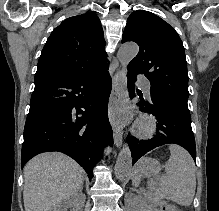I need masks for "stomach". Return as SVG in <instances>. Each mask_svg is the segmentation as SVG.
Here are the masks:
<instances>
[{
  "mask_svg": "<svg viewBox=\"0 0 219 211\" xmlns=\"http://www.w3.org/2000/svg\"><path fill=\"white\" fill-rule=\"evenodd\" d=\"M160 170V163L157 160L148 157L141 158L135 166V171L137 173L149 177L156 176Z\"/></svg>",
  "mask_w": 219,
  "mask_h": 211,
  "instance_id": "stomach-1",
  "label": "stomach"
}]
</instances>
